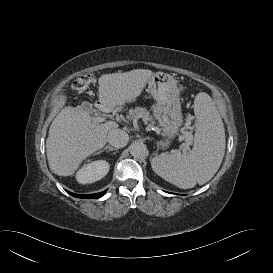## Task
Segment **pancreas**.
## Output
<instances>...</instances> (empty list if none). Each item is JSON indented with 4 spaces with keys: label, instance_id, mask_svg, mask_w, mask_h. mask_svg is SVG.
Listing matches in <instances>:
<instances>
[{
    "label": "pancreas",
    "instance_id": "cf45deb5",
    "mask_svg": "<svg viewBox=\"0 0 273 273\" xmlns=\"http://www.w3.org/2000/svg\"><path fill=\"white\" fill-rule=\"evenodd\" d=\"M141 118L144 122L150 121V127H154V121L149 111L146 108L136 107L135 109L129 110L128 119H138ZM185 140L190 143L192 141V135L188 132L184 134Z\"/></svg>",
    "mask_w": 273,
    "mask_h": 273
}]
</instances>
